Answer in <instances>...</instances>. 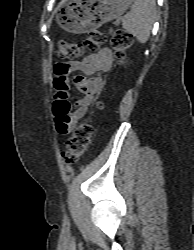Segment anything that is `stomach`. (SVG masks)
Wrapping results in <instances>:
<instances>
[{
	"mask_svg": "<svg viewBox=\"0 0 194 250\" xmlns=\"http://www.w3.org/2000/svg\"><path fill=\"white\" fill-rule=\"evenodd\" d=\"M134 0H63L57 23L66 31L86 33L119 18Z\"/></svg>",
	"mask_w": 194,
	"mask_h": 250,
	"instance_id": "obj_1",
	"label": "stomach"
}]
</instances>
